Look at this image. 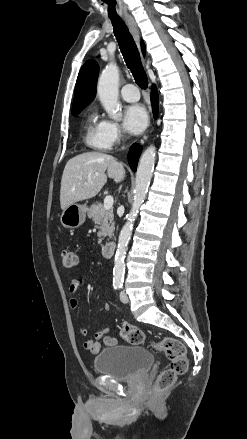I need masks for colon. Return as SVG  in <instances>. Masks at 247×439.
<instances>
[{"label":"colon","mask_w":247,"mask_h":439,"mask_svg":"<svg viewBox=\"0 0 247 439\" xmlns=\"http://www.w3.org/2000/svg\"><path fill=\"white\" fill-rule=\"evenodd\" d=\"M78 263L77 256L72 251L63 252V264L72 268ZM121 337L132 345H141L145 342L144 332L137 326L124 324L121 328ZM155 350L162 351L168 360L167 367L160 373L156 389L161 391L170 387L178 376L184 374L188 367V359L185 346L173 338H164L153 345Z\"/></svg>","instance_id":"obj_1"}]
</instances>
